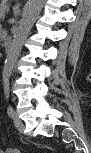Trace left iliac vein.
I'll return each mask as SVG.
<instances>
[{"label": "left iliac vein", "mask_w": 91, "mask_h": 153, "mask_svg": "<svg viewBox=\"0 0 91 153\" xmlns=\"http://www.w3.org/2000/svg\"><path fill=\"white\" fill-rule=\"evenodd\" d=\"M14 119V125L16 127V129L20 132L23 133L24 131V124L23 122L18 118L17 114H15Z\"/></svg>", "instance_id": "4c4485c4"}]
</instances>
